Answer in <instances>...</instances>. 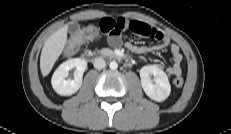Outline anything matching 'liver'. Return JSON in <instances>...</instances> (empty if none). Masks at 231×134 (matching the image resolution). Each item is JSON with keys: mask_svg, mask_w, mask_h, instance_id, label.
<instances>
[{"mask_svg": "<svg viewBox=\"0 0 231 134\" xmlns=\"http://www.w3.org/2000/svg\"><path fill=\"white\" fill-rule=\"evenodd\" d=\"M68 26L65 25L52 35L44 43L40 56V69L43 76H47L53 68L67 43Z\"/></svg>", "mask_w": 231, "mask_h": 134, "instance_id": "6515ba94", "label": "liver"}]
</instances>
